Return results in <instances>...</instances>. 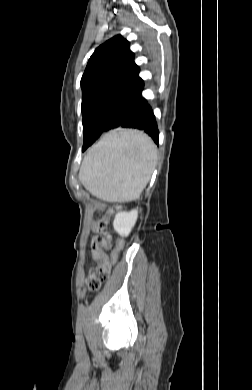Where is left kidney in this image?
I'll list each match as a JSON object with an SVG mask.
<instances>
[{
    "label": "left kidney",
    "mask_w": 252,
    "mask_h": 390,
    "mask_svg": "<svg viewBox=\"0 0 252 390\" xmlns=\"http://www.w3.org/2000/svg\"><path fill=\"white\" fill-rule=\"evenodd\" d=\"M138 217V211L132 210L131 212H119L116 214L113 227L114 230L121 236H128L134 227Z\"/></svg>",
    "instance_id": "1"
}]
</instances>
